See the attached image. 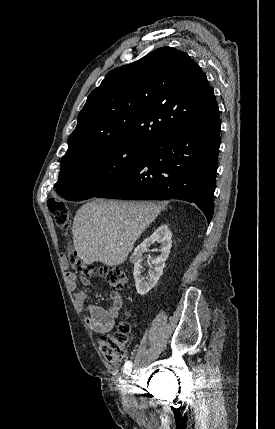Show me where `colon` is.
<instances>
[{"label": "colon", "mask_w": 275, "mask_h": 429, "mask_svg": "<svg viewBox=\"0 0 275 429\" xmlns=\"http://www.w3.org/2000/svg\"><path fill=\"white\" fill-rule=\"evenodd\" d=\"M48 208L54 218L56 226L63 230L69 229L72 217L67 205L53 200L48 202ZM63 260L65 262H69L71 267L74 268L83 278H90L96 275L100 276L115 290H122L126 286L127 275L121 267L96 268L94 266L87 265L72 249L68 252L67 256H63ZM129 330V324L124 322L120 324L118 331L113 335L100 337L99 348L105 360L112 364H120L123 361Z\"/></svg>", "instance_id": "obj_1"}]
</instances>
